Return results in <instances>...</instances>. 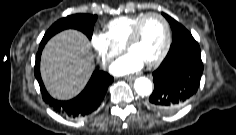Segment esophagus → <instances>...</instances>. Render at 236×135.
<instances>
[{"instance_id": "34e87169", "label": "esophagus", "mask_w": 236, "mask_h": 135, "mask_svg": "<svg viewBox=\"0 0 236 135\" xmlns=\"http://www.w3.org/2000/svg\"><path fill=\"white\" fill-rule=\"evenodd\" d=\"M125 79L128 81H132L135 79V77L134 76H127V77H125Z\"/></svg>"}]
</instances>
